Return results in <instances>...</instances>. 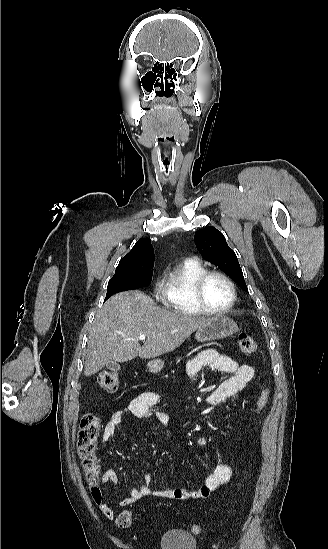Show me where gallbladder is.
Listing matches in <instances>:
<instances>
[{
    "instance_id": "1",
    "label": "gallbladder",
    "mask_w": 328,
    "mask_h": 549,
    "mask_svg": "<svg viewBox=\"0 0 328 549\" xmlns=\"http://www.w3.org/2000/svg\"><path fill=\"white\" fill-rule=\"evenodd\" d=\"M106 369H109V371H121V365H119V363H113V361H108V363H106Z\"/></svg>"
}]
</instances>
